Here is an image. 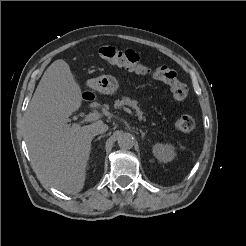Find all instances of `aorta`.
<instances>
[{"instance_id":"1","label":"aorta","mask_w":246,"mask_h":246,"mask_svg":"<svg viewBox=\"0 0 246 246\" xmlns=\"http://www.w3.org/2000/svg\"><path fill=\"white\" fill-rule=\"evenodd\" d=\"M117 142L120 148L130 149L134 145V136L129 132H120L117 136Z\"/></svg>"}]
</instances>
